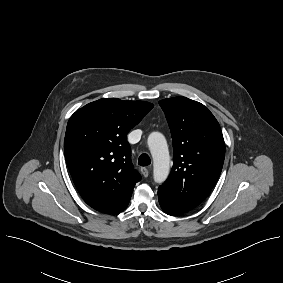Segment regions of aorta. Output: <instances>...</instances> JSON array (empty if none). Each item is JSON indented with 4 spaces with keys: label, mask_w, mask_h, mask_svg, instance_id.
<instances>
[{
    "label": "aorta",
    "mask_w": 283,
    "mask_h": 283,
    "mask_svg": "<svg viewBox=\"0 0 283 283\" xmlns=\"http://www.w3.org/2000/svg\"><path fill=\"white\" fill-rule=\"evenodd\" d=\"M148 146L153 158V177L156 183H163L170 168V156L166 139L159 132H152L148 137Z\"/></svg>",
    "instance_id": "762f6f07"
}]
</instances>
